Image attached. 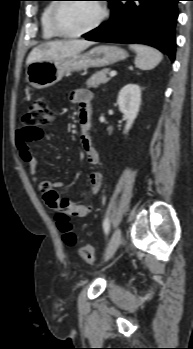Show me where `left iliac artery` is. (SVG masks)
Returning <instances> with one entry per match:
<instances>
[{"mask_svg": "<svg viewBox=\"0 0 193 349\" xmlns=\"http://www.w3.org/2000/svg\"><path fill=\"white\" fill-rule=\"evenodd\" d=\"M103 229H104V232L106 234L109 233V230H110V222H109V219L108 218H105L104 221H103Z\"/></svg>", "mask_w": 193, "mask_h": 349, "instance_id": "obj_1", "label": "left iliac artery"}]
</instances>
